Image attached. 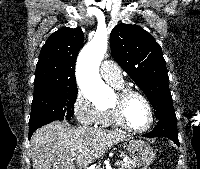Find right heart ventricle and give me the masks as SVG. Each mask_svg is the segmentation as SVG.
I'll use <instances>...</instances> for the list:
<instances>
[{"instance_id":"obj_1","label":"right heart ventricle","mask_w":200,"mask_h":169,"mask_svg":"<svg viewBox=\"0 0 200 169\" xmlns=\"http://www.w3.org/2000/svg\"><path fill=\"white\" fill-rule=\"evenodd\" d=\"M113 86L117 89H120L123 87V84H113ZM98 125L102 127H120L119 123L116 120L112 107L101 110Z\"/></svg>"}]
</instances>
